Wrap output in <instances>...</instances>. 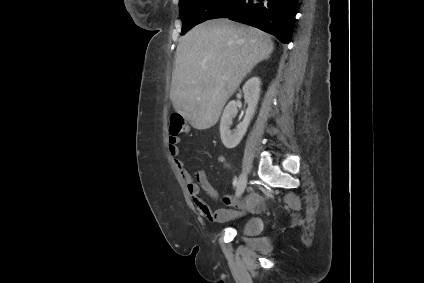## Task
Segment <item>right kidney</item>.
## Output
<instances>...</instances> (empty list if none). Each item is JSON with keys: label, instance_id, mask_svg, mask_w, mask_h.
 Masks as SVG:
<instances>
[{"label": "right kidney", "instance_id": "ca27d5eb", "mask_svg": "<svg viewBox=\"0 0 424 283\" xmlns=\"http://www.w3.org/2000/svg\"><path fill=\"white\" fill-rule=\"evenodd\" d=\"M260 86L261 81L259 77H252L244 84L243 93L244 99L248 104V108L242 122L236 127L234 131L230 130V126L232 125V119L237 113L238 104L236 101L232 100L226 105L220 121L221 140L226 148H235L245 135L250 121L256 111L260 97Z\"/></svg>", "mask_w": 424, "mask_h": 283}]
</instances>
